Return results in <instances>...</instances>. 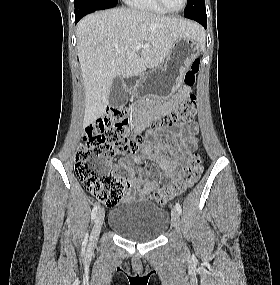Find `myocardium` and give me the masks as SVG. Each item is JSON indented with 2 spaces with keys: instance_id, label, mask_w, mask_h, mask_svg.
I'll return each instance as SVG.
<instances>
[{
  "instance_id": "f54148a6",
  "label": "myocardium",
  "mask_w": 280,
  "mask_h": 285,
  "mask_svg": "<svg viewBox=\"0 0 280 285\" xmlns=\"http://www.w3.org/2000/svg\"><path fill=\"white\" fill-rule=\"evenodd\" d=\"M156 1L158 2L159 6L167 13H179V12H181V11H183L185 9V7H186V5L188 3V0H183V4H182V6L179 9L171 10V9H169L166 6L164 0H156Z\"/></svg>"
}]
</instances>
